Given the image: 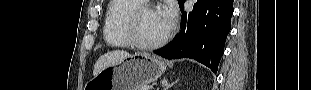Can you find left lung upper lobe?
Returning a JSON list of instances; mask_svg holds the SVG:
<instances>
[{
	"instance_id": "5c2ea615",
	"label": "left lung upper lobe",
	"mask_w": 311,
	"mask_h": 90,
	"mask_svg": "<svg viewBox=\"0 0 311 90\" xmlns=\"http://www.w3.org/2000/svg\"><path fill=\"white\" fill-rule=\"evenodd\" d=\"M184 2L185 0H178L179 6H181Z\"/></svg>"
}]
</instances>
